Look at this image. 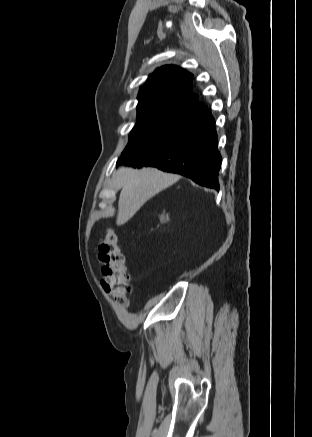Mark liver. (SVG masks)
<instances>
[{
    "label": "liver",
    "instance_id": "obj_1",
    "mask_svg": "<svg viewBox=\"0 0 312 437\" xmlns=\"http://www.w3.org/2000/svg\"><path fill=\"white\" fill-rule=\"evenodd\" d=\"M122 190L118 203L117 225H123L153 196L176 183L178 175L155 168L123 167L118 172Z\"/></svg>",
    "mask_w": 312,
    "mask_h": 437
}]
</instances>
